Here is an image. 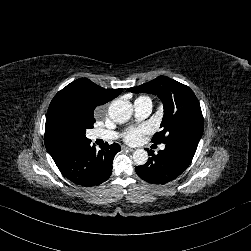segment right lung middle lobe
Here are the masks:
<instances>
[{
  "label": "right lung middle lobe",
  "instance_id": "1",
  "mask_svg": "<svg viewBox=\"0 0 251 251\" xmlns=\"http://www.w3.org/2000/svg\"><path fill=\"white\" fill-rule=\"evenodd\" d=\"M94 117H85L70 111L50 107L46 116L45 133L64 138L86 140V129L93 128Z\"/></svg>",
  "mask_w": 251,
  "mask_h": 251
}]
</instances>
